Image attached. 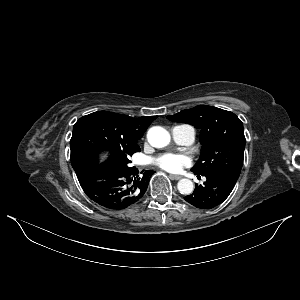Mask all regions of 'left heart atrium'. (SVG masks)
<instances>
[{
    "label": "left heart atrium",
    "instance_id": "left-heart-atrium-1",
    "mask_svg": "<svg viewBox=\"0 0 300 300\" xmlns=\"http://www.w3.org/2000/svg\"><path fill=\"white\" fill-rule=\"evenodd\" d=\"M154 164L165 171L178 172L190 164V159L182 154L166 153L157 156Z\"/></svg>",
    "mask_w": 300,
    "mask_h": 300
}]
</instances>
